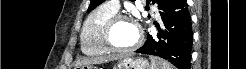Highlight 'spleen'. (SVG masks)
<instances>
[{
    "label": "spleen",
    "mask_w": 246,
    "mask_h": 69,
    "mask_svg": "<svg viewBox=\"0 0 246 69\" xmlns=\"http://www.w3.org/2000/svg\"><path fill=\"white\" fill-rule=\"evenodd\" d=\"M151 59V69H173V67L168 64L166 61L156 58L150 57Z\"/></svg>",
    "instance_id": "1"
}]
</instances>
